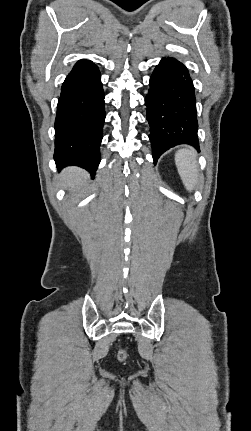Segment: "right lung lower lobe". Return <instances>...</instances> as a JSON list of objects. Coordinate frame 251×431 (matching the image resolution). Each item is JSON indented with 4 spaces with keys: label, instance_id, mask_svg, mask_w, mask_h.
<instances>
[{
    "label": "right lung lower lobe",
    "instance_id": "obj_1",
    "mask_svg": "<svg viewBox=\"0 0 251 431\" xmlns=\"http://www.w3.org/2000/svg\"><path fill=\"white\" fill-rule=\"evenodd\" d=\"M100 79L92 61L79 60L62 84L55 120L54 159L59 170L75 165L95 176L105 120Z\"/></svg>",
    "mask_w": 251,
    "mask_h": 431
}]
</instances>
